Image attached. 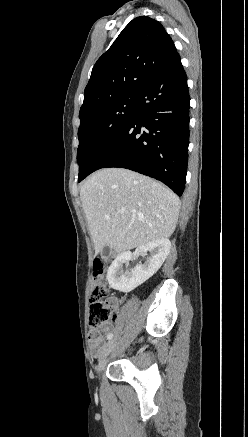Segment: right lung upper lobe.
Instances as JSON below:
<instances>
[{"instance_id": "obj_1", "label": "right lung upper lobe", "mask_w": 248, "mask_h": 437, "mask_svg": "<svg viewBox=\"0 0 248 437\" xmlns=\"http://www.w3.org/2000/svg\"><path fill=\"white\" fill-rule=\"evenodd\" d=\"M179 55L155 19L132 20L96 62L84 91L80 121L122 97L136 96Z\"/></svg>"}]
</instances>
